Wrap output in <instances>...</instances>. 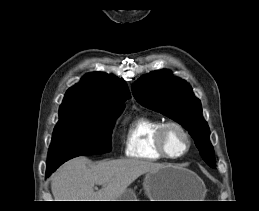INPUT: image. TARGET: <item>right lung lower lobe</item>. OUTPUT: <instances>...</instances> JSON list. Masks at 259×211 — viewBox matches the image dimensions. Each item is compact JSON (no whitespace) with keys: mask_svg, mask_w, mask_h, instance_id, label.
<instances>
[{"mask_svg":"<svg viewBox=\"0 0 259 211\" xmlns=\"http://www.w3.org/2000/svg\"><path fill=\"white\" fill-rule=\"evenodd\" d=\"M57 167L47 168L46 176L49 177L50 174L56 169Z\"/></svg>","mask_w":259,"mask_h":211,"instance_id":"right-lung-lower-lobe-1","label":"right lung lower lobe"}]
</instances>
